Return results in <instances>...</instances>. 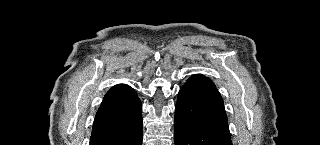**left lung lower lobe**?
<instances>
[{
  "label": "left lung lower lobe",
  "instance_id": "left-lung-lower-lobe-1",
  "mask_svg": "<svg viewBox=\"0 0 320 145\" xmlns=\"http://www.w3.org/2000/svg\"><path fill=\"white\" fill-rule=\"evenodd\" d=\"M175 145H232L223 99L214 83L193 75L178 93Z\"/></svg>",
  "mask_w": 320,
  "mask_h": 145
}]
</instances>
